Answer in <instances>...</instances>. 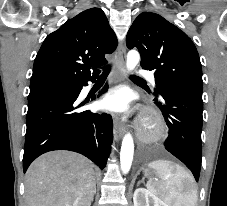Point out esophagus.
Instances as JSON below:
<instances>
[{
	"label": "esophagus",
	"mask_w": 227,
	"mask_h": 206,
	"mask_svg": "<svg viewBox=\"0 0 227 206\" xmlns=\"http://www.w3.org/2000/svg\"><path fill=\"white\" fill-rule=\"evenodd\" d=\"M125 61H126V47H125V43L121 42L118 46V59L115 66V73L118 81H121L123 79V68H124ZM113 122H114L115 138L116 140H118L120 137L123 136L125 132V127H124V124L119 121L118 116H114Z\"/></svg>",
	"instance_id": "1"
}]
</instances>
